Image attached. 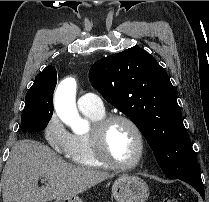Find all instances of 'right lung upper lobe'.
Masks as SVG:
<instances>
[{
	"mask_svg": "<svg viewBox=\"0 0 209 202\" xmlns=\"http://www.w3.org/2000/svg\"><path fill=\"white\" fill-rule=\"evenodd\" d=\"M42 79H50V80H53L57 83L56 69L53 66H47L41 73H39L36 76L35 81H39ZM55 86H56V84H55Z\"/></svg>",
	"mask_w": 209,
	"mask_h": 202,
	"instance_id": "right-lung-upper-lobe-1",
	"label": "right lung upper lobe"
}]
</instances>
